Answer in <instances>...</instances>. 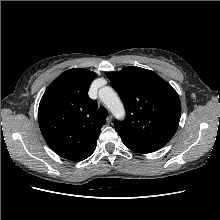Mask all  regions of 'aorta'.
Wrapping results in <instances>:
<instances>
[{
  "label": "aorta",
  "instance_id": "762f6f07",
  "mask_svg": "<svg viewBox=\"0 0 220 220\" xmlns=\"http://www.w3.org/2000/svg\"><path fill=\"white\" fill-rule=\"evenodd\" d=\"M99 97L117 118L125 115V110L119 96L110 87H103L99 90Z\"/></svg>",
  "mask_w": 220,
  "mask_h": 220
}]
</instances>
